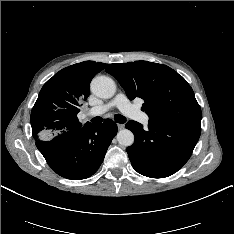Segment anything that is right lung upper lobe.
<instances>
[{"label":"right lung upper lobe","mask_w":234,"mask_h":234,"mask_svg":"<svg viewBox=\"0 0 234 234\" xmlns=\"http://www.w3.org/2000/svg\"><path fill=\"white\" fill-rule=\"evenodd\" d=\"M107 64L85 61L60 70L42 87L31 111L36 140L83 127L77 118L79 107L90 94L92 78ZM90 124L87 122L85 125Z\"/></svg>","instance_id":"1"}]
</instances>
